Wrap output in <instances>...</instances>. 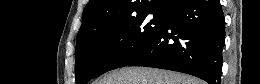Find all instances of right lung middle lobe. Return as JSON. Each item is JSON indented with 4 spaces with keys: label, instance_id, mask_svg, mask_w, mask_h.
<instances>
[{
    "label": "right lung middle lobe",
    "instance_id": "dd1d6c3e",
    "mask_svg": "<svg viewBox=\"0 0 260 84\" xmlns=\"http://www.w3.org/2000/svg\"><path fill=\"white\" fill-rule=\"evenodd\" d=\"M164 24L162 12H141L97 24L87 37L76 42V83L86 84L99 74L128 65L152 44Z\"/></svg>",
    "mask_w": 260,
    "mask_h": 84
}]
</instances>
